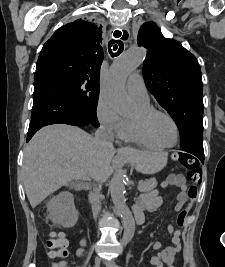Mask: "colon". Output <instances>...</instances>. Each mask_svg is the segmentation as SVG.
I'll use <instances>...</instances> for the list:
<instances>
[{
	"mask_svg": "<svg viewBox=\"0 0 225 267\" xmlns=\"http://www.w3.org/2000/svg\"><path fill=\"white\" fill-rule=\"evenodd\" d=\"M172 159L187 170V178L190 183L187 190L188 205L182 208L177 215V225L182 228L193 202L197 199L199 186L203 181V169L198 159L186 152H175L172 154ZM46 246L49 249V257L56 260L53 267H65L64 259L67 257L68 251L67 241L63 234L52 232L46 241Z\"/></svg>",
	"mask_w": 225,
	"mask_h": 267,
	"instance_id": "obj_1",
	"label": "colon"
}]
</instances>
